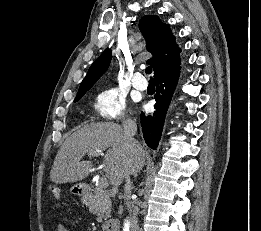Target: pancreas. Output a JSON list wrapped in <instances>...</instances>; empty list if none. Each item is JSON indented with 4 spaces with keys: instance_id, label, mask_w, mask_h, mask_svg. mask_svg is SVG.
<instances>
[{
    "instance_id": "cf45deb5",
    "label": "pancreas",
    "mask_w": 261,
    "mask_h": 231,
    "mask_svg": "<svg viewBox=\"0 0 261 231\" xmlns=\"http://www.w3.org/2000/svg\"><path fill=\"white\" fill-rule=\"evenodd\" d=\"M86 205L89 211L97 215V221L102 222L110 217L111 213V199L108 191L100 186L93 190V194L86 198Z\"/></svg>"
}]
</instances>
